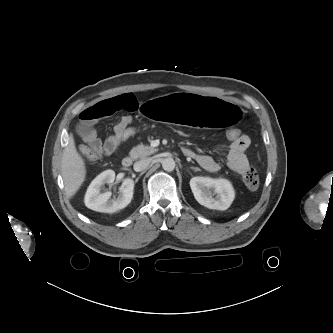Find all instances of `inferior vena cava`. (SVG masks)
<instances>
[{"instance_id": "inferior-vena-cava-1", "label": "inferior vena cava", "mask_w": 333, "mask_h": 333, "mask_svg": "<svg viewBox=\"0 0 333 333\" xmlns=\"http://www.w3.org/2000/svg\"><path fill=\"white\" fill-rule=\"evenodd\" d=\"M150 162H151L150 158L139 160L134 163L133 168L136 172L143 171L144 169H146L149 166Z\"/></svg>"}]
</instances>
